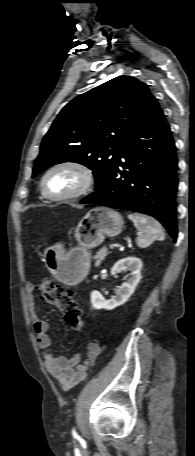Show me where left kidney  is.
<instances>
[{"instance_id":"5707ae66","label":"left kidney","mask_w":195,"mask_h":456,"mask_svg":"<svg viewBox=\"0 0 195 456\" xmlns=\"http://www.w3.org/2000/svg\"><path fill=\"white\" fill-rule=\"evenodd\" d=\"M142 261L137 257H126L119 260L111 269V274L116 275L121 270H129L131 273L126 282H124L116 291L111 299L106 300L99 291L91 293V304L94 309L112 310L128 301L134 293L141 279Z\"/></svg>"}]
</instances>
